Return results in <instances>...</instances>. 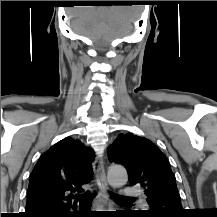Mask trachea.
I'll return each instance as SVG.
<instances>
[{"mask_svg": "<svg viewBox=\"0 0 217 217\" xmlns=\"http://www.w3.org/2000/svg\"><path fill=\"white\" fill-rule=\"evenodd\" d=\"M111 196L116 201H122V200H131L132 198L124 197L115 193H111ZM80 205L81 206H89L93 200V195H91L89 192H85L83 195L80 196Z\"/></svg>", "mask_w": 217, "mask_h": 217, "instance_id": "1", "label": "trachea"}]
</instances>
